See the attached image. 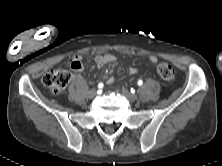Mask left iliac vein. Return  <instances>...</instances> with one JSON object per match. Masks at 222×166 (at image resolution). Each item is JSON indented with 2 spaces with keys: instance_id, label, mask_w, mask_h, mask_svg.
Returning <instances> with one entry per match:
<instances>
[{
  "instance_id": "left-iliac-vein-1",
  "label": "left iliac vein",
  "mask_w": 222,
  "mask_h": 166,
  "mask_svg": "<svg viewBox=\"0 0 222 166\" xmlns=\"http://www.w3.org/2000/svg\"><path fill=\"white\" fill-rule=\"evenodd\" d=\"M122 94L131 102L136 101L137 100V96L133 93H131L129 90L127 89H123L122 90Z\"/></svg>"
}]
</instances>
